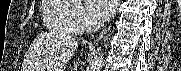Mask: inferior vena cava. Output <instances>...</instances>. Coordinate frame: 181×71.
Instances as JSON below:
<instances>
[{
	"instance_id": "inferior-vena-cava-1",
	"label": "inferior vena cava",
	"mask_w": 181,
	"mask_h": 71,
	"mask_svg": "<svg viewBox=\"0 0 181 71\" xmlns=\"http://www.w3.org/2000/svg\"><path fill=\"white\" fill-rule=\"evenodd\" d=\"M100 27V25L96 22H94L93 20L89 21V23L87 24V32H95L98 30V28Z\"/></svg>"
}]
</instances>
